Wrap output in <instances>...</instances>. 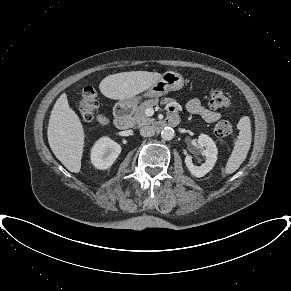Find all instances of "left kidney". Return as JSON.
<instances>
[{
    "label": "left kidney",
    "mask_w": 291,
    "mask_h": 291,
    "mask_svg": "<svg viewBox=\"0 0 291 291\" xmlns=\"http://www.w3.org/2000/svg\"><path fill=\"white\" fill-rule=\"evenodd\" d=\"M198 143L206 157L205 163H202L200 166L194 165L192 156L188 154L185 157V164L193 176L200 178L205 176L214 167L218 151L215 142L206 134L199 135Z\"/></svg>",
    "instance_id": "1"
}]
</instances>
